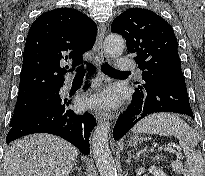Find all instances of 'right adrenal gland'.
<instances>
[{
	"label": "right adrenal gland",
	"mask_w": 205,
	"mask_h": 176,
	"mask_svg": "<svg viewBox=\"0 0 205 176\" xmlns=\"http://www.w3.org/2000/svg\"><path fill=\"white\" fill-rule=\"evenodd\" d=\"M74 170H78L79 172H81V169L77 166V162H75L74 168L72 171H74Z\"/></svg>",
	"instance_id": "1"
}]
</instances>
